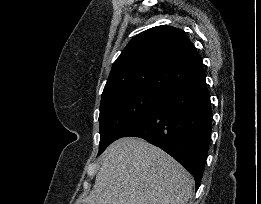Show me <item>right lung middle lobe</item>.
I'll return each mask as SVG.
<instances>
[{"label": "right lung middle lobe", "instance_id": "obj_1", "mask_svg": "<svg viewBox=\"0 0 261 204\" xmlns=\"http://www.w3.org/2000/svg\"><path fill=\"white\" fill-rule=\"evenodd\" d=\"M166 92L155 90H124L110 94L100 103V155L119 139L134 123L150 112Z\"/></svg>", "mask_w": 261, "mask_h": 204}]
</instances>
